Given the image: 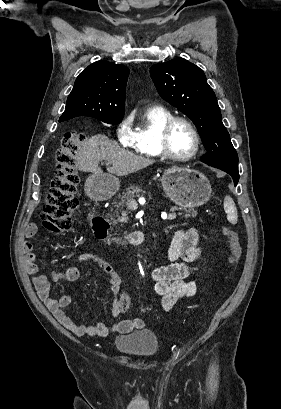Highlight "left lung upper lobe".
Returning <instances> with one entry per match:
<instances>
[{
    "label": "left lung upper lobe",
    "instance_id": "1",
    "mask_svg": "<svg viewBox=\"0 0 281 409\" xmlns=\"http://www.w3.org/2000/svg\"><path fill=\"white\" fill-rule=\"evenodd\" d=\"M151 77L160 96L187 115L196 125L206 148V164L238 163L230 135L222 123L215 93L204 72L193 63L176 58L153 65Z\"/></svg>",
    "mask_w": 281,
    "mask_h": 409
}]
</instances>
